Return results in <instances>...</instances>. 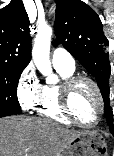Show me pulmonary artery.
<instances>
[{
	"label": "pulmonary artery",
	"mask_w": 114,
	"mask_h": 156,
	"mask_svg": "<svg viewBox=\"0 0 114 156\" xmlns=\"http://www.w3.org/2000/svg\"><path fill=\"white\" fill-rule=\"evenodd\" d=\"M52 63L54 67L75 68V61L72 55L63 48H56L52 53Z\"/></svg>",
	"instance_id": "pulmonary-artery-1"
}]
</instances>
